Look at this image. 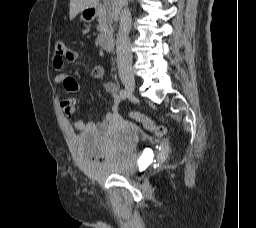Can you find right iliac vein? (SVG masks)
Wrapping results in <instances>:
<instances>
[{
    "mask_svg": "<svg viewBox=\"0 0 256 228\" xmlns=\"http://www.w3.org/2000/svg\"><path fill=\"white\" fill-rule=\"evenodd\" d=\"M122 83L124 84L125 88L130 92H134L136 83H135V78L131 74H125L122 76Z\"/></svg>",
    "mask_w": 256,
    "mask_h": 228,
    "instance_id": "1",
    "label": "right iliac vein"
}]
</instances>
